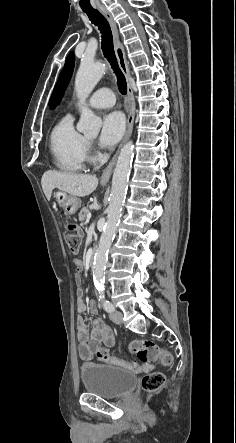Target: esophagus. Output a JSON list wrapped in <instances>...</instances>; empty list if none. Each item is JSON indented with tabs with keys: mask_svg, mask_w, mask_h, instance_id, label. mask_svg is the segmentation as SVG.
<instances>
[{
	"mask_svg": "<svg viewBox=\"0 0 236 443\" xmlns=\"http://www.w3.org/2000/svg\"><path fill=\"white\" fill-rule=\"evenodd\" d=\"M98 9L103 14V16L106 18V20L108 21V23L111 27L112 34H113V40H114L115 54H116V57H117V60L119 63V67H120L121 71L123 72V74L125 75V77L127 78L128 95L131 100V108H130L128 118H127V132L125 134L122 144L120 145V147H121L129 139V137L132 134V130H133V121H134V116H135L134 94H133V89H132L131 83L129 81L130 72H129V68H128V64H127V60H126L125 50H124V47L119 39L117 24H116L115 20L113 19L111 13L104 6H101ZM120 147L117 150V152L115 153V155L113 156V158L111 159V161L109 162L106 169L104 170V172L101 176L102 183H106L109 181L111 174H112L114 164L116 162L117 155L120 150Z\"/></svg>",
	"mask_w": 236,
	"mask_h": 443,
	"instance_id": "esophagus-1",
	"label": "esophagus"
}]
</instances>
